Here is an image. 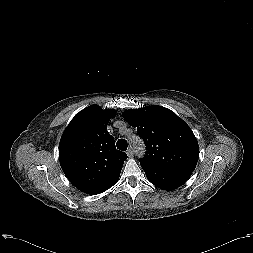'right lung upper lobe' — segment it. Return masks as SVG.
<instances>
[{"instance_id": "1", "label": "right lung upper lobe", "mask_w": 253, "mask_h": 253, "mask_svg": "<svg viewBox=\"0 0 253 253\" xmlns=\"http://www.w3.org/2000/svg\"><path fill=\"white\" fill-rule=\"evenodd\" d=\"M114 109L92 105L79 112L65 129L59 144V160L70 182L90 195L100 194L118 180L127 155L115 148L106 130Z\"/></svg>"}]
</instances>
